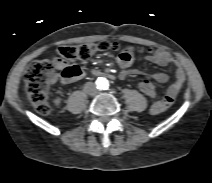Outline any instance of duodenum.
Here are the masks:
<instances>
[{
    "label": "duodenum",
    "mask_w": 212,
    "mask_h": 183,
    "mask_svg": "<svg viewBox=\"0 0 212 183\" xmlns=\"http://www.w3.org/2000/svg\"><path fill=\"white\" fill-rule=\"evenodd\" d=\"M91 74L94 75V76H109V77H113L111 74H109V73H107L105 71L99 70V69L92 70Z\"/></svg>",
    "instance_id": "410a0bca"
}]
</instances>
